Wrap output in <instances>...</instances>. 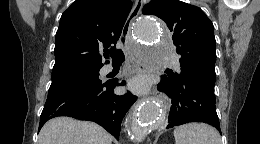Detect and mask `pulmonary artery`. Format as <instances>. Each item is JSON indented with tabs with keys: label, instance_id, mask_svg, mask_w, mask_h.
<instances>
[{
	"label": "pulmonary artery",
	"instance_id": "pulmonary-artery-1",
	"mask_svg": "<svg viewBox=\"0 0 260 144\" xmlns=\"http://www.w3.org/2000/svg\"><path fill=\"white\" fill-rule=\"evenodd\" d=\"M175 67H176L177 69L180 68V64H179L178 61L175 62ZM111 70H112V67H111V66H106V67H105V71H111Z\"/></svg>",
	"mask_w": 260,
	"mask_h": 144
}]
</instances>
